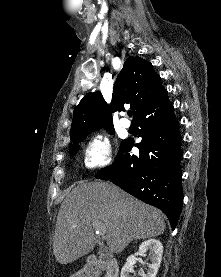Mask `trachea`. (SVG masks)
<instances>
[{
	"label": "trachea",
	"mask_w": 221,
	"mask_h": 277,
	"mask_svg": "<svg viewBox=\"0 0 221 277\" xmlns=\"http://www.w3.org/2000/svg\"><path fill=\"white\" fill-rule=\"evenodd\" d=\"M127 114H128L129 117L132 116V112L131 111H128Z\"/></svg>",
	"instance_id": "obj_1"
}]
</instances>
